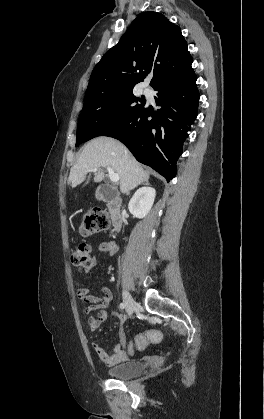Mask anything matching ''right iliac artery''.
Returning <instances> with one entry per match:
<instances>
[{
  "mask_svg": "<svg viewBox=\"0 0 264 419\" xmlns=\"http://www.w3.org/2000/svg\"><path fill=\"white\" fill-rule=\"evenodd\" d=\"M120 308H121V309H124V308H125V304H124V303H121V304H120Z\"/></svg>",
  "mask_w": 264,
  "mask_h": 419,
  "instance_id": "1",
  "label": "right iliac artery"
}]
</instances>
